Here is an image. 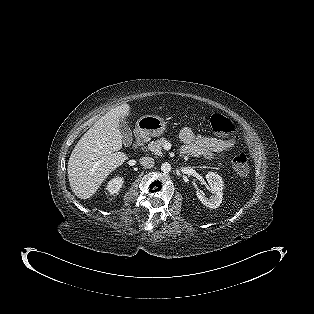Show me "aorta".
I'll list each match as a JSON object with an SVG mask.
<instances>
[{"label": "aorta", "instance_id": "obj_1", "mask_svg": "<svg viewBox=\"0 0 314 314\" xmlns=\"http://www.w3.org/2000/svg\"><path fill=\"white\" fill-rule=\"evenodd\" d=\"M161 171L164 172V173H169L171 171V164L168 163V162H164L161 165Z\"/></svg>", "mask_w": 314, "mask_h": 314}]
</instances>
